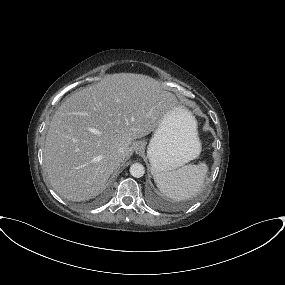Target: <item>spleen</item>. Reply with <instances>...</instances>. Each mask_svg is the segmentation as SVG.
I'll return each instance as SVG.
<instances>
[{
  "label": "spleen",
  "mask_w": 285,
  "mask_h": 285,
  "mask_svg": "<svg viewBox=\"0 0 285 285\" xmlns=\"http://www.w3.org/2000/svg\"><path fill=\"white\" fill-rule=\"evenodd\" d=\"M207 173L206 163L201 162L198 165H185L176 171L154 173V181L165 196L182 201L202 190Z\"/></svg>",
  "instance_id": "spleen-1"
}]
</instances>
